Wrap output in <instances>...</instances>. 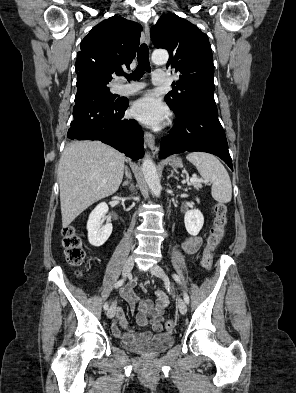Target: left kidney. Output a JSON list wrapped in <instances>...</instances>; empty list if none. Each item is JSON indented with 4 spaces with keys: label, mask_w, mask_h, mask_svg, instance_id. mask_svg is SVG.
<instances>
[{
    "label": "left kidney",
    "mask_w": 296,
    "mask_h": 393,
    "mask_svg": "<svg viewBox=\"0 0 296 393\" xmlns=\"http://www.w3.org/2000/svg\"><path fill=\"white\" fill-rule=\"evenodd\" d=\"M196 200L199 203V199L197 198ZM184 223L187 232L190 235L196 236L199 234L204 224L203 214L200 210H189L185 214Z\"/></svg>",
    "instance_id": "5707ae66"
}]
</instances>
